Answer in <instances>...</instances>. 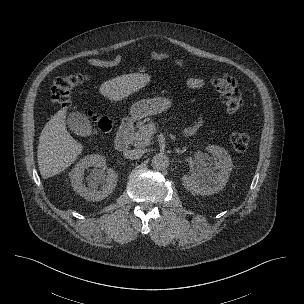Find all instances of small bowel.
<instances>
[{"instance_id":"obj_1","label":"small bowel","mask_w":304,"mask_h":304,"mask_svg":"<svg viewBox=\"0 0 304 304\" xmlns=\"http://www.w3.org/2000/svg\"><path fill=\"white\" fill-rule=\"evenodd\" d=\"M170 59L169 54L166 52H154L150 55V61L152 63H157L163 60ZM122 58L120 55H115L112 58L102 59V58H93L87 61V64L92 67H113L118 65L121 62ZM176 64L182 68L186 69L187 65L183 59H175ZM187 85L191 89H200L204 86V80L199 76L190 75L187 78ZM201 125V120L196 121L193 125L185 129V134L192 135L194 134L199 126Z\"/></svg>"}]
</instances>
